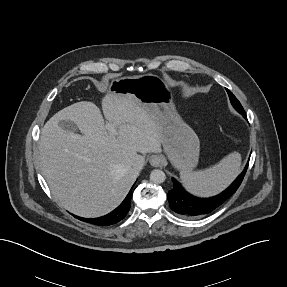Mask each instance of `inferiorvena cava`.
<instances>
[{"label":"inferior vena cava","instance_id":"1","mask_svg":"<svg viewBox=\"0 0 287 287\" xmlns=\"http://www.w3.org/2000/svg\"><path fill=\"white\" fill-rule=\"evenodd\" d=\"M144 162H145L144 157L141 156V155H138V156L136 157V159L134 160V162L132 163L133 169H134L135 171L140 172L141 169L143 168Z\"/></svg>","mask_w":287,"mask_h":287}]
</instances>
